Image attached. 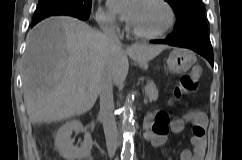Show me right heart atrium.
Here are the masks:
<instances>
[{
  "instance_id": "d8ad5b80",
  "label": "right heart atrium",
  "mask_w": 242,
  "mask_h": 160,
  "mask_svg": "<svg viewBox=\"0 0 242 160\" xmlns=\"http://www.w3.org/2000/svg\"><path fill=\"white\" fill-rule=\"evenodd\" d=\"M96 19L99 25L105 29L114 28L116 27V24H117L114 16L108 11H106L105 9H103L102 7H99L96 14Z\"/></svg>"
}]
</instances>
